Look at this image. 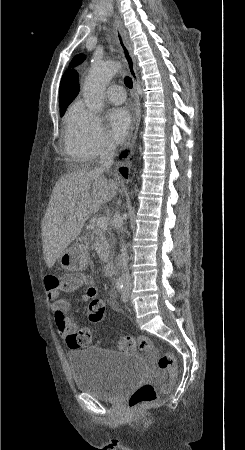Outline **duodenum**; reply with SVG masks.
Returning <instances> with one entry per match:
<instances>
[{
    "label": "duodenum",
    "instance_id": "1",
    "mask_svg": "<svg viewBox=\"0 0 245 450\" xmlns=\"http://www.w3.org/2000/svg\"><path fill=\"white\" fill-rule=\"evenodd\" d=\"M80 243L82 246L86 247L88 245V242L84 239L81 238L80 239ZM117 271V264L113 261L109 262L108 265L106 266V273L110 276V277H114L115 273Z\"/></svg>",
    "mask_w": 245,
    "mask_h": 450
}]
</instances>
